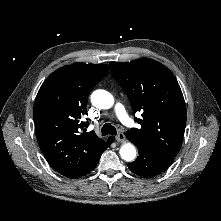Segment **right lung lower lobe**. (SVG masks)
<instances>
[{"instance_id": "98d812e1", "label": "right lung lower lobe", "mask_w": 221, "mask_h": 221, "mask_svg": "<svg viewBox=\"0 0 221 221\" xmlns=\"http://www.w3.org/2000/svg\"><path fill=\"white\" fill-rule=\"evenodd\" d=\"M114 141V137H110L107 141V144H106V147L104 148V150L98 154L92 161L91 163L87 166V168L78 176V177H81V176H85L87 175L89 172H91L97 165V163L99 162L100 160V157L102 155V153L105 151V149H107V147Z\"/></svg>"}]
</instances>
